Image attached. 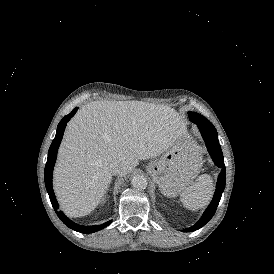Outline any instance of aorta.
Masks as SVG:
<instances>
[{
  "instance_id": "762f6f07",
  "label": "aorta",
  "mask_w": 274,
  "mask_h": 274,
  "mask_svg": "<svg viewBox=\"0 0 274 274\" xmlns=\"http://www.w3.org/2000/svg\"><path fill=\"white\" fill-rule=\"evenodd\" d=\"M131 184L136 189H145L147 187V180L142 175H135L131 179Z\"/></svg>"
}]
</instances>
